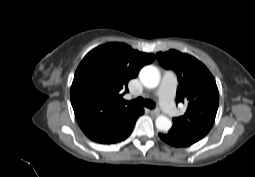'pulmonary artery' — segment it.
Listing matches in <instances>:
<instances>
[{
  "label": "pulmonary artery",
  "instance_id": "pulmonary-artery-1",
  "mask_svg": "<svg viewBox=\"0 0 255 177\" xmlns=\"http://www.w3.org/2000/svg\"><path fill=\"white\" fill-rule=\"evenodd\" d=\"M176 87L177 82L175 75L171 71H165L157 90V96L159 97L161 108L170 116L176 114V108L173 102Z\"/></svg>",
  "mask_w": 255,
  "mask_h": 177
}]
</instances>
